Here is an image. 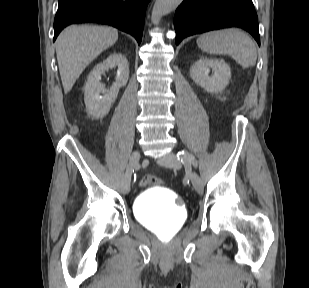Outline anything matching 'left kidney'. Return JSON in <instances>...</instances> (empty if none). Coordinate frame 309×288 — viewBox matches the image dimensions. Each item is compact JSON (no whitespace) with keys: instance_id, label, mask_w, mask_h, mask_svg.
I'll use <instances>...</instances> for the list:
<instances>
[{"instance_id":"left-kidney-1","label":"left kidney","mask_w":309,"mask_h":288,"mask_svg":"<svg viewBox=\"0 0 309 288\" xmlns=\"http://www.w3.org/2000/svg\"><path fill=\"white\" fill-rule=\"evenodd\" d=\"M210 69L214 72L209 75ZM193 81L209 93H218L229 84L231 70L223 59L200 58L190 68Z\"/></svg>"}]
</instances>
